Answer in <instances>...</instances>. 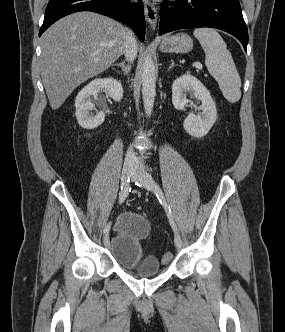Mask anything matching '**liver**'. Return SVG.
Masks as SVG:
<instances>
[{"instance_id": "liver-1", "label": "liver", "mask_w": 285, "mask_h": 332, "mask_svg": "<svg viewBox=\"0 0 285 332\" xmlns=\"http://www.w3.org/2000/svg\"><path fill=\"white\" fill-rule=\"evenodd\" d=\"M127 29L93 12H77L42 35L41 77L50 106L58 109L83 82L106 71L124 52Z\"/></svg>"}]
</instances>
